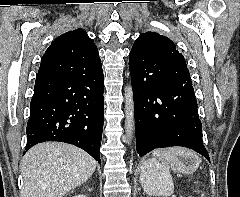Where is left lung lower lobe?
Masks as SVG:
<instances>
[{
  "label": "left lung lower lobe",
  "instance_id": "obj_1",
  "mask_svg": "<svg viewBox=\"0 0 240 197\" xmlns=\"http://www.w3.org/2000/svg\"><path fill=\"white\" fill-rule=\"evenodd\" d=\"M139 156L155 148L184 146L209 160L191 80L157 71L130 70Z\"/></svg>",
  "mask_w": 240,
  "mask_h": 197
}]
</instances>
